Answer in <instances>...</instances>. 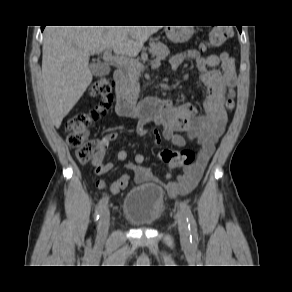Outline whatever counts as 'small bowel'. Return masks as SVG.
<instances>
[{
	"label": "small bowel",
	"mask_w": 292,
	"mask_h": 292,
	"mask_svg": "<svg viewBox=\"0 0 292 292\" xmlns=\"http://www.w3.org/2000/svg\"><path fill=\"white\" fill-rule=\"evenodd\" d=\"M187 60H193L201 74L200 79L206 91L203 110L199 111L191 103L172 105L167 100L166 109L154 119L155 127L150 128L141 123L137 132L142 136L151 137L154 146L160 145L163 141H168L176 147H183L187 142L197 143L199 150L196 162L187 166L168 164L167 182L164 183L153 175L150 168L142 165L144 161L142 153L136 154L134 161L126 165L134 174L135 183H161L172 197L187 195L198 185L228 122V114L224 108L225 93L229 92L230 97L237 83L235 60L228 52L205 57L197 50L191 49L174 55L170 64L173 69H178ZM116 139L117 133L109 132L94 141L96 152L91 164L97 175H103L113 169V163H104V157L106 149ZM127 158L128 153L125 150L118 151L119 161H125ZM176 168H181L182 172L173 175L172 170ZM127 183L128 177L122 176L111 184L110 190L113 194H118Z\"/></svg>",
	"instance_id": "c3829d8e"
}]
</instances>
